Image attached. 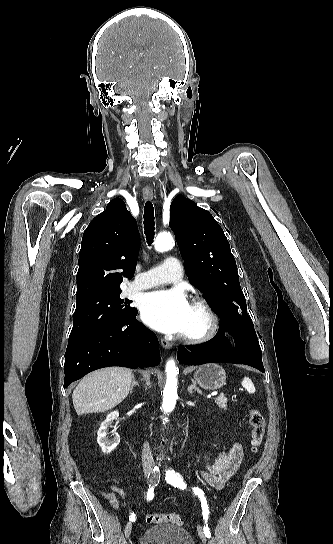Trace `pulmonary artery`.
Segmentation results:
<instances>
[{"mask_svg": "<svg viewBox=\"0 0 333 544\" xmlns=\"http://www.w3.org/2000/svg\"><path fill=\"white\" fill-rule=\"evenodd\" d=\"M181 262L175 257H167L161 264L136 276L130 284L131 290H144L158 285L172 283L182 277Z\"/></svg>", "mask_w": 333, "mask_h": 544, "instance_id": "pulmonary-artery-1", "label": "pulmonary artery"}]
</instances>
